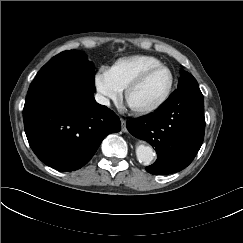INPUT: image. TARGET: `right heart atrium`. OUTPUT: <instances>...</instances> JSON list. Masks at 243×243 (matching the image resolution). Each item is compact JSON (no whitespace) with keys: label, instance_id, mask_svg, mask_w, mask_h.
Wrapping results in <instances>:
<instances>
[{"label":"right heart atrium","instance_id":"1","mask_svg":"<svg viewBox=\"0 0 243 243\" xmlns=\"http://www.w3.org/2000/svg\"><path fill=\"white\" fill-rule=\"evenodd\" d=\"M95 87L105 104L117 102L122 96V91L115 85L107 68H102L96 75Z\"/></svg>","mask_w":243,"mask_h":243}]
</instances>
